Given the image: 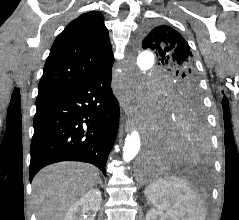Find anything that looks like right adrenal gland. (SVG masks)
<instances>
[{
    "mask_svg": "<svg viewBox=\"0 0 239 220\" xmlns=\"http://www.w3.org/2000/svg\"><path fill=\"white\" fill-rule=\"evenodd\" d=\"M97 183H99L100 186L103 187V182H102V180H101L100 178L98 179V182H97Z\"/></svg>",
    "mask_w": 239,
    "mask_h": 220,
    "instance_id": "obj_1",
    "label": "right adrenal gland"
}]
</instances>
